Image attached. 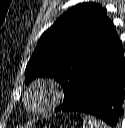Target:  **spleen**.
Segmentation results:
<instances>
[{"label":"spleen","mask_w":125,"mask_h":128,"mask_svg":"<svg viewBox=\"0 0 125 128\" xmlns=\"http://www.w3.org/2000/svg\"><path fill=\"white\" fill-rule=\"evenodd\" d=\"M83 128H109L104 122L97 120L95 117L86 115L83 120Z\"/></svg>","instance_id":"obj_1"}]
</instances>
